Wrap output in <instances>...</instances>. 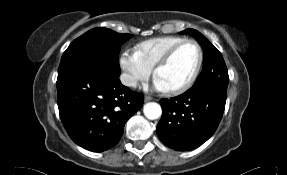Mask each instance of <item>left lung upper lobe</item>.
I'll return each mask as SVG.
<instances>
[{
    "mask_svg": "<svg viewBox=\"0 0 287 175\" xmlns=\"http://www.w3.org/2000/svg\"><path fill=\"white\" fill-rule=\"evenodd\" d=\"M181 34H189L202 46L203 69L194 85L189 89L197 91L204 88H216L227 90L229 81L228 70L221 53L205 38L201 33L194 29H186Z\"/></svg>",
    "mask_w": 287,
    "mask_h": 175,
    "instance_id": "obj_1",
    "label": "left lung upper lobe"
}]
</instances>
